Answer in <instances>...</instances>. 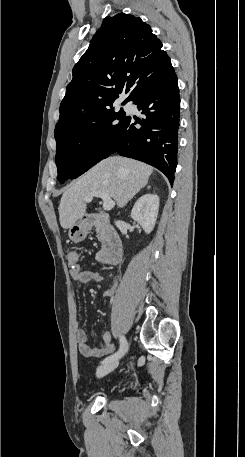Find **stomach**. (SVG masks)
Listing matches in <instances>:
<instances>
[{
	"mask_svg": "<svg viewBox=\"0 0 245 457\" xmlns=\"http://www.w3.org/2000/svg\"><path fill=\"white\" fill-rule=\"evenodd\" d=\"M91 229V222L89 220H78L73 226H70L68 237L73 243H81L86 239L88 231Z\"/></svg>",
	"mask_w": 245,
	"mask_h": 457,
	"instance_id": "stomach-1",
	"label": "stomach"
}]
</instances>
